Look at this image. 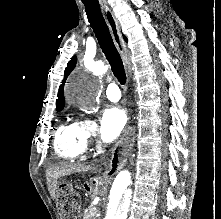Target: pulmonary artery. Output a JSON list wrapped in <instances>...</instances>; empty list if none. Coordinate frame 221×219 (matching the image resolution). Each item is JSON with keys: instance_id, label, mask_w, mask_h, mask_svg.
Here are the masks:
<instances>
[{"instance_id": "obj_1", "label": "pulmonary artery", "mask_w": 221, "mask_h": 219, "mask_svg": "<svg viewBox=\"0 0 221 219\" xmlns=\"http://www.w3.org/2000/svg\"><path fill=\"white\" fill-rule=\"evenodd\" d=\"M106 96L112 102H116V101L120 100L121 92H120L119 87L117 86V84L111 83L107 86Z\"/></svg>"}]
</instances>
